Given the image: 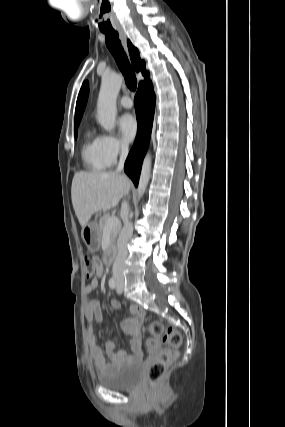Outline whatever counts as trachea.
I'll use <instances>...</instances> for the list:
<instances>
[{"instance_id": "3493384b", "label": "trachea", "mask_w": 285, "mask_h": 427, "mask_svg": "<svg viewBox=\"0 0 285 427\" xmlns=\"http://www.w3.org/2000/svg\"><path fill=\"white\" fill-rule=\"evenodd\" d=\"M106 37V46L113 55L120 71L122 72L127 87L134 91L137 87L135 71L129 63L127 55L119 40V34L116 31H103Z\"/></svg>"}]
</instances>
